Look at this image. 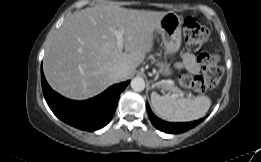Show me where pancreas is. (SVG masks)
<instances>
[{"label": "pancreas", "mask_w": 261, "mask_h": 162, "mask_svg": "<svg viewBox=\"0 0 261 162\" xmlns=\"http://www.w3.org/2000/svg\"><path fill=\"white\" fill-rule=\"evenodd\" d=\"M162 87L167 89V90L177 89L174 85H169V84H166V83L162 84ZM179 91H181V90H179Z\"/></svg>", "instance_id": "obj_1"}]
</instances>
